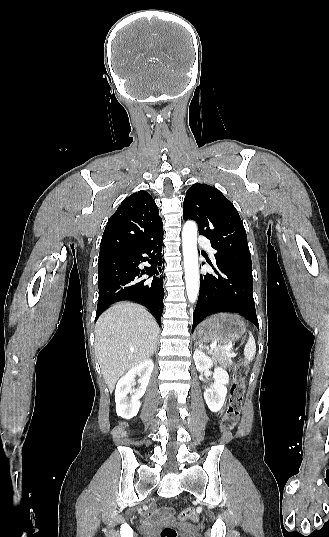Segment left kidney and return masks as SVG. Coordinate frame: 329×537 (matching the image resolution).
Masks as SVG:
<instances>
[{"mask_svg": "<svg viewBox=\"0 0 329 537\" xmlns=\"http://www.w3.org/2000/svg\"><path fill=\"white\" fill-rule=\"evenodd\" d=\"M193 358L199 372H203L213 366L212 359L200 350H195ZM213 378L214 384L205 391L204 399L212 412H218L225 403L227 395L226 385L229 383V375L223 368L216 367Z\"/></svg>", "mask_w": 329, "mask_h": 537, "instance_id": "left-kidney-1", "label": "left kidney"}]
</instances>
